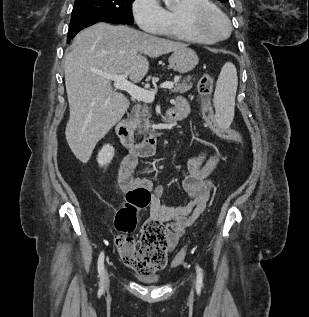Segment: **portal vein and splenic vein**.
<instances>
[{
  "mask_svg": "<svg viewBox=\"0 0 309 317\" xmlns=\"http://www.w3.org/2000/svg\"><path fill=\"white\" fill-rule=\"evenodd\" d=\"M98 74L106 79L114 81L115 88L127 91L134 99L138 101H143L146 103H152L154 101L155 94L158 90L157 87H155L153 90L143 89L128 81L127 76L124 74L116 75L102 72H98ZM159 87L163 89H172L174 87V83L169 81L164 82Z\"/></svg>",
  "mask_w": 309,
  "mask_h": 317,
  "instance_id": "obj_1",
  "label": "portal vein and splenic vein"
}]
</instances>
